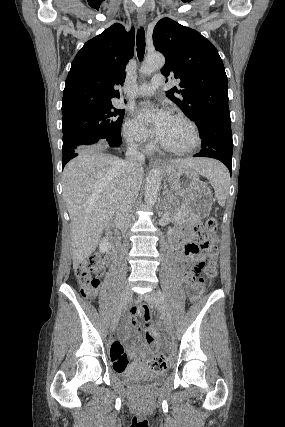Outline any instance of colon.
I'll use <instances>...</instances> for the list:
<instances>
[{
    "instance_id": "obj_1",
    "label": "colon",
    "mask_w": 285,
    "mask_h": 427,
    "mask_svg": "<svg viewBox=\"0 0 285 427\" xmlns=\"http://www.w3.org/2000/svg\"><path fill=\"white\" fill-rule=\"evenodd\" d=\"M218 229L215 218L205 221L202 228H194L190 231L192 241L185 246V253L189 259L190 266L185 270V279L188 284V292L192 298H196L201 292L202 274L209 277L216 275V262L210 260L208 264L198 258L199 253L207 252L212 258L217 255V247L214 235ZM104 273V263L98 257H90L78 262L75 266L77 283L80 293L84 298H92L100 284V277ZM152 370H164L169 367L170 361L165 355H158L148 361ZM126 362L122 364V367Z\"/></svg>"
}]
</instances>
